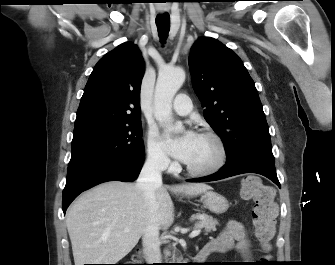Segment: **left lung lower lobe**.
Segmentation results:
<instances>
[{
  "instance_id": "obj_1",
  "label": "left lung lower lobe",
  "mask_w": 335,
  "mask_h": 265,
  "mask_svg": "<svg viewBox=\"0 0 335 265\" xmlns=\"http://www.w3.org/2000/svg\"><path fill=\"white\" fill-rule=\"evenodd\" d=\"M243 173L261 174L273 181L281 188L277 178L275 164L260 159L247 158L235 162L226 163L220 171L207 177L190 179L189 182H209L215 181Z\"/></svg>"
}]
</instances>
